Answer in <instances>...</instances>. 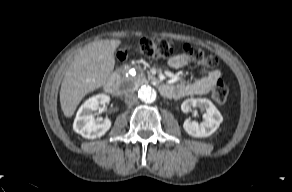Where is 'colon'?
I'll return each mask as SVG.
<instances>
[{"instance_id": "colon-1", "label": "colon", "mask_w": 292, "mask_h": 192, "mask_svg": "<svg viewBox=\"0 0 292 192\" xmlns=\"http://www.w3.org/2000/svg\"><path fill=\"white\" fill-rule=\"evenodd\" d=\"M173 42L167 38H143L134 52L152 59H166L173 54ZM184 51L189 57L191 66L201 67L203 70H210L217 66V59L203 50L192 47L189 44L184 46ZM127 51L120 52V59H125ZM228 87L222 78H219L211 89V98L218 104L226 102L228 97Z\"/></svg>"}]
</instances>
